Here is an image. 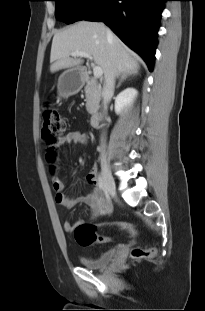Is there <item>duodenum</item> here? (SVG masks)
<instances>
[{
    "label": "duodenum",
    "mask_w": 205,
    "mask_h": 311,
    "mask_svg": "<svg viewBox=\"0 0 205 311\" xmlns=\"http://www.w3.org/2000/svg\"><path fill=\"white\" fill-rule=\"evenodd\" d=\"M80 74L83 78V81L90 80V76L86 68H82L80 70ZM100 120H101V114L99 112H95L91 115L90 124L95 127L99 124Z\"/></svg>",
    "instance_id": "1"
}]
</instances>
